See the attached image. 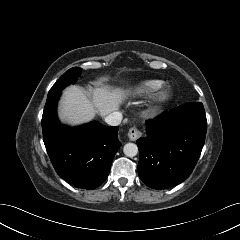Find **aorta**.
Returning a JSON list of instances; mask_svg holds the SVG:
<instances>
[{
  "mask_svg": "<svg viewBox=\"0 0 240 240\" xmlns=\"http://www.w3.org/2000/svg\"><path fill=\"white\" fill-rule=\"evenodd\" d=\"M123 152L127 157H134L138 154V147L134 143H127L123 147Z\"/></svg>",
  "mask_w": 240,
  "mask_h": 240,
  "instance_id": "1",
  "label": "aorta"
}]
</instances>
